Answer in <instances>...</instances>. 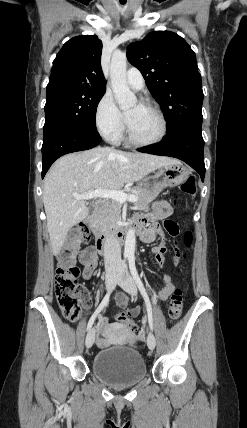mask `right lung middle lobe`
Returning a JSON list of instances; mask_svg holds the SVG:
<instances>
[{"label":"right lung middle lobe","instance_id":"1","mask_svg":"<svg viewBox=\"0 0 247 428\" xmlns=\"http://www.w3.org/2000/svg\"><path fill=\"white\" fill-rule=\"evenodd\" d=\"M104 93L105 90L87 88H67L48 92L43 129L64 125L97 131L96 109Z\"/></svg>","mask_w":247,"mask_h":428}]
</instances>
